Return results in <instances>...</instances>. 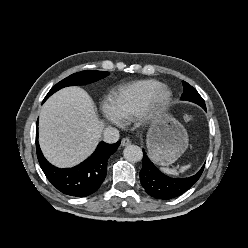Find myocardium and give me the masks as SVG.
<instances>
[{"label": "myocardium", "mask_w": 248, "mask_h": 248, "mask_svg": "<svg viewBox=\"0 0 248 248\" xmlns=\"http://www.w3.org/2000/svg\"><path fill=\"white\" fill-rule=\"evenodd\" d=\"M172 100V91L162 85L152 96L148 106L140 115V120L147 122L150 113L167 107Z\"/></svg>", "instance_id": "obj_1"}]
</instances>
